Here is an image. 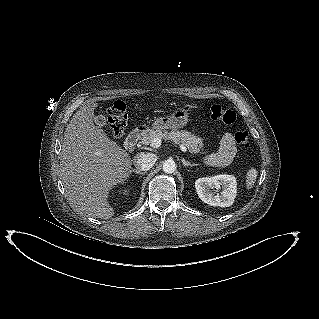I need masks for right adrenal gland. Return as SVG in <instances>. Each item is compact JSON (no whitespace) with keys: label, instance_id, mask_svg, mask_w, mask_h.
Segmentation results:
<instances>
[{"label":"right adrenal gland","instance_id":"obj_1","mask_svg":"<svg viewBox=\"0 0 319 319\" xmlns=\"http://www.w3.org/2000/svg\"><path fill=\"white\" fill-rule=\"evenodd\" d=\"M132 172L139 174V175H145L146 172H142L141 170H132Z\"/></svg>","mask_w":319,"mask_h":319}]
</instances>
